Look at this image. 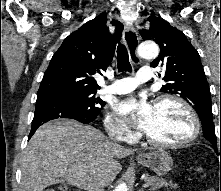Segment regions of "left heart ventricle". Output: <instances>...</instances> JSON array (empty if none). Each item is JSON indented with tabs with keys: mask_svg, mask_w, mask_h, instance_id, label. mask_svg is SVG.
Listing matches in <instances>:
<instances>
[{
	"mask_svg": "<svg viewBox=\"0 0 221 191\" xmlns=\"http://www.w3.org/2000/svg\"><path fill=\"white\" fill-rule=\"evenodd\" d=\"M191 129V119L186 110L167 101L154 107L153 119L146 133L155 140L175 142L187 137Z\"/></svg>",
	"mask_w": 221,
	"mask_h": 191,
	"instance_id": "left-heart-ventricle-1",
	"label": "left heart ventricle"
}]
</instances>
